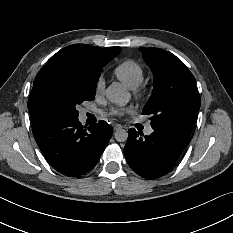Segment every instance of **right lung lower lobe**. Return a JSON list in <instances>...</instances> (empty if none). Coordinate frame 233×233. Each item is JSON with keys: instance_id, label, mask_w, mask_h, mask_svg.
I'll use <instances>...</instances> for the list:
<instances>
[{"instance_id": "98d812e1", "label": "right lung lower lobe", "mask_w": 233, "mask_h": 233, "mask_svg": "<svg viewBox=\"0 0 233 233\" xmlns=\"http://www.w3.org/2000/svg\"><path fill=\"white\" fill-rule=\"evenodd\" d=\"M32 131L48 163L69 177L92 170L113 133L105 121L86 129L78 118L37 123Z\"/></svg>"}]
</instances>
